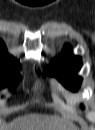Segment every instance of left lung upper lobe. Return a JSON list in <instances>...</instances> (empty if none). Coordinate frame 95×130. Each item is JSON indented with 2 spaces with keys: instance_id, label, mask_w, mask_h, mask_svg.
<instances>
[{
  "instance_id": "left-lung-upper-lobe-1",
  "label": "left lung upper lobe",
  "mask_w": 95,
  "mask_h": 130,
  "mask_svg": "<svg viewBox=\"0 0 95 130\" xmlns=\"http://www.w3.org/2000/svg\"><path fill=\"white\" fill-rule=\"evenodd\" d=\"M55 63L57 68L52 70L47 68L46 71L57 79L68 89L78 90L81 84V78L77 76V71L81 68V58L77 56H59Z\"/></svg>"
}]
</instances>
